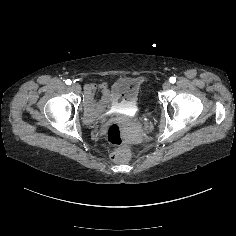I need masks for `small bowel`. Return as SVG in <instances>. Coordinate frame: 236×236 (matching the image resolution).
<instances>
[{"instance_id": "1", "label": "small bowel", "mask_w": 236, "mask_h": 236, "mask_svg": "<svg viewBox=\"0 0 236 236\" xmlns=\"http://www.w3.org/2000/svg\"><path fill=\"white\" fill-rule=\"evenodd\" d=\"M90 89H96L97 86L95 85H90L89 87ZM98 88L102 89L104 91V93H107L106 89H107V84L103 83L101 85L98 86Z\"/></svg>"}]
</instances>
